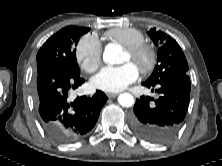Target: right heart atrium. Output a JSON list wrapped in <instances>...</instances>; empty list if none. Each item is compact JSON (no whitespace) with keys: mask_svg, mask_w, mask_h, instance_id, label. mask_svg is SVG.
Segmentation results:
<instances>
[{"mask_svg":"<svg viewBox=\"0 0 222 166\" xmlns=\"http://www.w3.org/2000/svg\"><path fill=\"white\" fill-rule=\"evenodd\" d=\"M75 54L80 67L88 73L94 72L101 65L102 46L94 35L82 37L76 46Z\"/></svg>","mask_w":222,"mask_h":166,"instance_id":"right-heart-atrium-1","label":"right heart atrium"}]
</instances>
